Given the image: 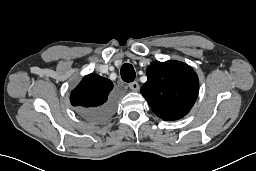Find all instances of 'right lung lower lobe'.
I'll use <instances>...</instances> for the list:
<instances>
[{"label":"right lung lower lobe","mask_w":256,"mask_h":171,"mask_svg":"<svg viewBox=\"0 0 256 171\" xmlns=\"http://www.w3.org/2000/svg\"><path fill=\"white\" fill-rule=\"evenodd\" d=\"M114 110H115V100L111 98L103 106L83 113V117L90 122L100 123L108 119L112 115Z\"/></svg>","instance_id":"right-lung-lower-lobe-1"}]
</instances>
